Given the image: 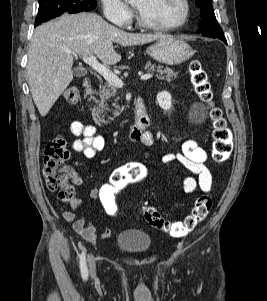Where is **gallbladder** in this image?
<instances>
[{"instance_id":"gallbladder-1","label":"gallbladder","mask_w":267,"mask_h":301,"mask_svg":"<svg viewBox=\"0 0 267 301\" xmlns=\"http://www.w3.org/2000/svg\"><path fill=\"white\" fill-rule=\"evenodd\" d=\"M73 73L76 77L80 78V77H84L87 74V71L85 69L75 68L73 70Z\"/></svg>"}]
</instances>
